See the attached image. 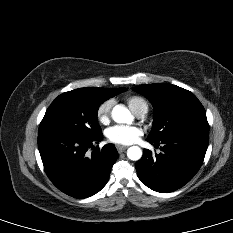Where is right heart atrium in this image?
Listing matches in <instances>:
<instances>
[{
	"label": "right heart atrium",
	"instance_id": "obj_1",
	"mask_svg": "<svg viewBox=\"0 0 233 233\" xmlns=\"http://www.w3.org/2000/svg\"><path fill=\"white\" fill-rule=\"evenodd\" d=\"M113 106V100L108 99L103 101L96 110V117L99 122L106 123L108 122Z\"/></svg>",
	"mask_w": 233,
	"mask_h": 233
}]
</instances>
